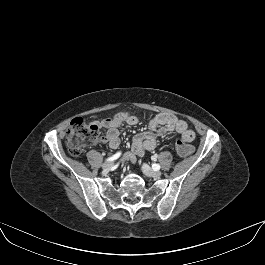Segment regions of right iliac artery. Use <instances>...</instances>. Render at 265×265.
<instances>
[{
  "label": "right iliac artery",
  "instance_id": "obj_1",
  "mask_svg": "<svg viewBox=\"0 0 265 265\" xmlns=\"http://www.w3.org/2000/svg\"><path fill=\"white\" fill-rule=\"evenodd\" d=\"M120 155H121V152H117V153H116V154H114L113 156H111V157L107 158V161H113V160H115V159L119 158V157H120Z\"/></svg>",
  "mask_w": 265,
  "mask_h": 265
}]
</instances>
